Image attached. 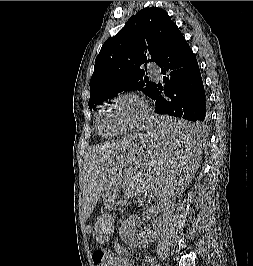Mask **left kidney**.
Masks as SVG:
<instances>
[{"mask_svg":"<svg viewBox=\"0 0 253 266\" xmlns=\"http://www.w3.org/2000/svg\"><path fill=\"white\" fill-rule=\"evenodd\" d=\"M141 223L137 215H130L121 225L119 234L121 239L133 247H145L153 241L156 236L154 231L138 232L136 226Z\"/></svg>","mask_w":253,"mask_h":266,"instance_id":"5707ae66","label":"left kidney"}]
</instances>
